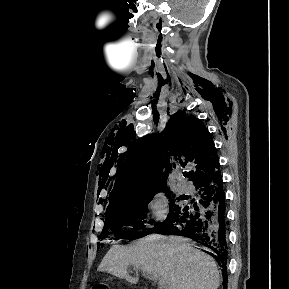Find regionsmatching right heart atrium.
<instances>
[{
	"instance_id": "d8ad5b80",
	"label": "right heart atrium",
	"mask_w": 289,
	"mask_h": 289,
	"mask_svg": "<svg viewBox=\"0 0 289 289\" xmlns=\"http://www.w3.org/2000/svg\"><path fill=\"white\" fill-rule=\"evenodd\" d=\"M147 211L149 216L156 223L163 222L167 217V200L161 192L154 193L147 202Z\"/></svg>"
}]
</instances>
